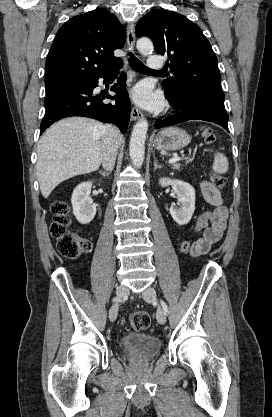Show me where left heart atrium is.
Instances as JSON below:
<instances>
[{"mask_svg":"<svg viewBox=\"0 0 272 417\" xmlns=\"http://www.w3.org/2000/svg\"><path fill=\"white\" fill-rule=\"evenodd\" d=\"M130 97L138 106L149 110H158L162 107V97L155 92L149 83L137 84L130 93Z\"/></svg>","mask_w":272,"mask_h":417,"instance_id":"39dd6f15","label":"left heart atrium"}]
</instances>
